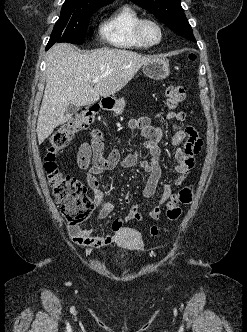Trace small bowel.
<instances>
[{"instance_id": "1", "label": "small bowel", "mask_w": 247, "mask_h": 332, "mask_svg": "<svg viewBox=\"0 0 247 332\" xmlns=\"http://www.w3.org/2000/svg\"><path fill=\"white\" fill-rule=\"evenodd\" d=\"M159 122L166 120L184 121L186 113L184 111H170L156 115ZM129 128L139 129L141 135L146 139L144 143L145 149L149 152L148 160L140 159L139 153L133 152L122 157L117 149H113L107 156L104 155V139L100 130H93L91 134V142L83 143L78 152L77 162L81 169L85 170L86 182L92 192L94 201L98 207V217L105 218L113 211V205L104 200V193L99 188L97 176L108 171H112L118 165L130 168L140 165L147 173L148 179L143 188L145 198L152 197L159 185L161 178L160 155L161 149L159 143L162 139L163 132L159 126L152 124V118L142 116L132 119L129 122ZM172 143L176 146L175 158L177 164L174 167L178 174L174 181L176 186H181L185 182L187 175L194 166V158L199 154L202 148V140L197 130L193 126H186L184 129L178 130L172 138ZM183 144L182 147H178ZM171 196V188L164 185L159 198V204L154 206L149 212V217L158 220L162 214L161 204L168 201ZM126 200L129 195L125 196ZM143 215L137 204H131L125 221L142 220ZM70 238L79 245L87 247H104L112 244L118 232L111 234L95 235L92 228H81L77 225H71L68 228Z\"/></svg>"}]
</instances>
